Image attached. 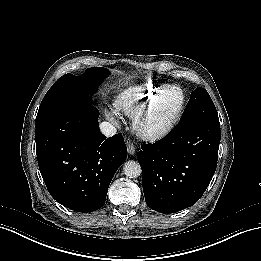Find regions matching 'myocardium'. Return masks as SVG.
<instances>
[{
	"label": "myocardium",
	"mask_w": 261,
	"mask_h": 261,
	"mask_svg": "<svg viewBox=\"0 0 261 261\" xmlns=\"http://www.w3.org/2000/svg\"><path fill=\"white\" fill-rule=\"evenodd\" d=\"M162 95V92L158 93L157 95H155L153 98L150 99V101L148 102L147 106L137 115H135L133 117V123L134 125L137 127V128H140L142 125V118L147 114V112L149 110H151L153 108V106L155 105L156 103V99ZM165 95V94H163ZM183 102H184V98L183 96H179V104H178V107L177 109L175 110V112L173 113V115L167 120V122L165 123V125L163 127H161L159 130L157 131H161V130H164L166 127L170 126L176 119L177 117L179 116L181 110H182V107H183Z\"/></svg>",
	"instance_id": "1"
}]
</instances>
